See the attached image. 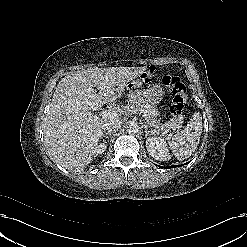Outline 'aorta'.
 Wrapping results in <instances>:
<instances>
[{"mask_svg":"<svg viewBox=\"0 0 247 247\" xmlns=\"http://www.w3.org/2000/svg\"><path fill=\"white\" fill-rule=\"evenodd\" d=\"M138 129H139V126L137 124V122H134V121H131L127 124L126 126V131L129 133V134H135L138 132Z\"/></svg>","mask_w":247,"mask_h":247,"instance_id":"aorta-1","label":"aorta"}]
</instances>
